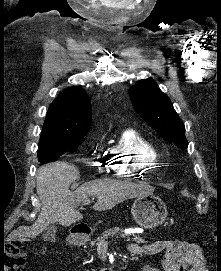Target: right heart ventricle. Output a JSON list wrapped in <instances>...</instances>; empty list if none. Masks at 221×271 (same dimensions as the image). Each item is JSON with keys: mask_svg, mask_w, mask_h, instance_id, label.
Masks as SVG:
<instances>
[{"mask_svg": "<svg viewBox=\"0 0 221 271\" xmlns=\"http://www.w3.org/2000/svg\"><path fill=\"white\" fill-rule=\"evenodd\" d=\"M121 151L131 154H116L115 158H107V163L111 164L114 176L120 179H140L141 176H149V164L156 162L158 166L161 160V153L158 145L145 137L120 138L117 143Z\"/></svg>", "mask_w": 221, "mask_h": 271, "instance_id": "1", "label": "right heart ventricle"}]
</instances>
